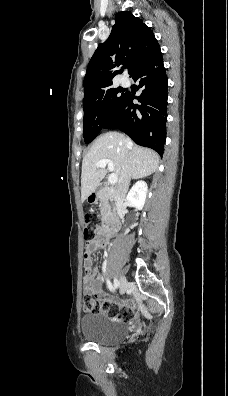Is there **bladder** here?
I'll return each instance as SVG.
<instances>
[{
    "label": "bladder",
    "mask_w": 228,
    "mask_h": 396,
    "mask_svg": "<svg viewBox=\"0 0 228 396\" xmlns=\"http://www.w3.org/2000/svg\"><path fill=\"white\" fill-rule=\"evenodd\" d=\"M83 337L101 345H111L125 340L129 329L125 322L108 317L103 313H90L81 319Z\"/></svg>",
    "instance_id": "1"
}]
</instances>
